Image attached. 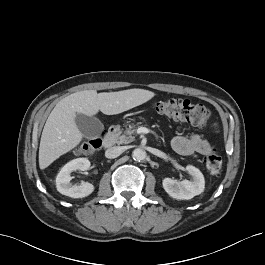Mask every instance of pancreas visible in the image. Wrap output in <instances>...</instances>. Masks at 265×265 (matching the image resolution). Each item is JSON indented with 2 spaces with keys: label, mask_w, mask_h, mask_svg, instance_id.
I'll use <instances>...</instances> for the list:
<instances>
[{
  "label": "pancreas",
  "mask_w": 265,
  "mask_h": 265,
  "mask_svg": "<svg viewBox=\"0 0 265 265\" xmlns=\"http://www.w3.org/2000/svg\"><path fill=\"white\" fill-rule=\"evenodd\" d=\"M137 125H129L124 131L120 129L119 126L115 127L113 134L115 136V143L117 144H128L134 141L135 137L133 136L136 132Z\"/></svg>",
  "instance_id": "obj_1"
}]
</instances>
